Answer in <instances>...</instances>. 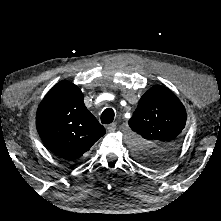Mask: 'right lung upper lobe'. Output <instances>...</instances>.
<instances>
[{"mask_svg": "<svg viewBox=\"0 0 221 221\" xmlns=\"http://www.w3.org/2000/svg\"><path fill=\"white\" fill-rule=\"evenodd\" d=\"M81 90L60 81L39 105L36 126L45 146L66 160H75L105 134L84 104Z\"/></svg>", "mask_w": 221, "mask_h": 221, "instance_id": "cb5924a9", "label": "right lung upper lobe"}]
</instances>
